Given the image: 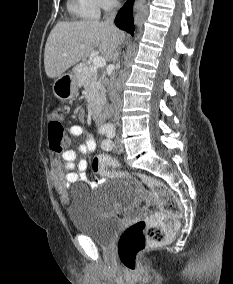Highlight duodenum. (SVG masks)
Here are the masks:
<instances>
[{"label":"duodenum","mask_w":233,"mask_h":284,"mask_svg":"<svg viewBox=\"0 0 233 284\" xmlns=\"http://www.w3.org/2000/svg\"><path fill=\"white\" fill-rule=\"evenodd\" d=\"M91 114L94 121L100 126V128H103L104 127L103 107L101 105H94L92 107Z\"/></svg>","instance_id":"duodenum-1"}]
</instances>
